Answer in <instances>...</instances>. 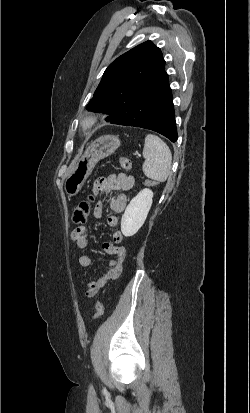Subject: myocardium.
Segmentation results:
<instances>
[{
	"instance_id": "myocardium-1",
	"label": "myocardium",
	"mask_w": 250,
	"mask_h": 413,
	"mask_svg": "<svg viewBox=\"0 0 250 413\" xmlns=\"http://www.w3.org/2000/svg\"><path fill=\"white\" fill-rule=\"evenodd\" d=\"M99 116L95 113H90L83 117L80 121V129L86 133L90 131L98 122Z\"/></svg>"
}]
</instances>
